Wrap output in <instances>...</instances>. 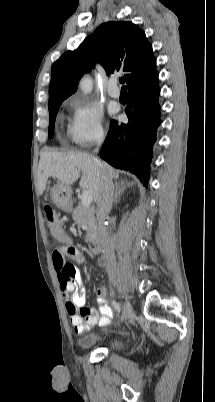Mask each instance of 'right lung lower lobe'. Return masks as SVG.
<instances>
[{
	"instance_id": "obj_1",
	"label": "right lung lower lobe",
	"mask_w": 215,
	"mask_h": 402,
	"mask_svg": "<svg viewBox=\"0 0 215 402\" xmlns=\"http://www.w3.org/2000/svg\"><path fill=\"white\" fill-rule=\"evenodd\" d=\"M127 124L112 120L100 156L112 166L136 174L147 186L152 147L161 123L158 74L128 89Z\"/></svg>"
}]
</instances>
